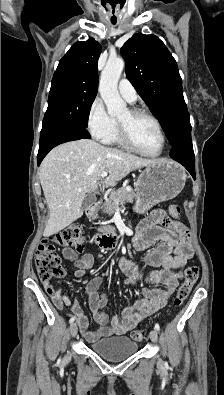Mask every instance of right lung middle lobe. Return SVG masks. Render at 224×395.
<instances>
[{"label":"right lung middle lobe","instance_id":"right-lung-middle-lobe-1","mask_svg":"<svg viewBox=\"0 0 224 395\" xmlns=\"http://www.w3.org/2000/svg\"><path fill=\"white\" fill-rule=\"evenodd\" d=\"M96 94V89L52 80L45 115L70 120L86 129Z\"/></svg>","mask_w":224,"mask_h":395}]
</instances>
